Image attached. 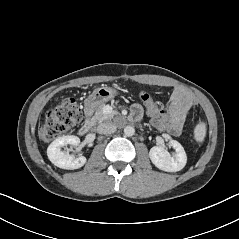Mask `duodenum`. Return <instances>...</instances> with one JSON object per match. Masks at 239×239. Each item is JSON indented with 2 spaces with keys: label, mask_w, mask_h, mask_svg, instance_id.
I'll return each mask as SVG.
<instances>
[{
  "label": "duodenum",
  "mask_w": 239,
  "mask_h": 239,
  "mask_svg": "<svg viewBox=\"0 0 239 239\" xmlns=\"http://www.w3.org/2000/svg\"><path fill=\"white\" fill-rule=\"evenodd\" d=\"M93 127V123L91 122V120L87 119L79 128V134L84 136L87 133L90 132V130Z\"/></svg>",
  "instance_id": "duodenum-1"
}]
</instances>
